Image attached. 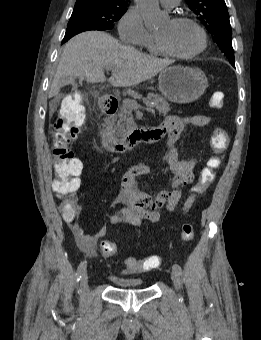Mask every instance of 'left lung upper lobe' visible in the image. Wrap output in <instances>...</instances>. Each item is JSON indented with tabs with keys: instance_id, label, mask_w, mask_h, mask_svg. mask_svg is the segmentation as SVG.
<instances>
[{
	"instance_id": "5c2ea615",
	"label": "left lung upper lobe",
	"mask_w": 261,
	"mask_h": 340,
	"mask_svg": "<svg viewBox=\"0 0 261 340\" xmlns=\"http://www.w3.org/2000/svg\"><path fill=\"white\" fill-rule=\"evenodd\" d=\"M229 61L234 62L229 14L224 0H186Z\"/></svg>"
}]
</instances>
